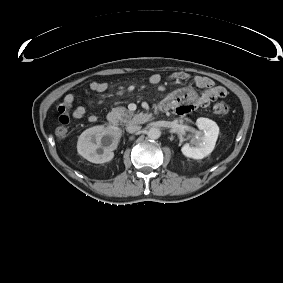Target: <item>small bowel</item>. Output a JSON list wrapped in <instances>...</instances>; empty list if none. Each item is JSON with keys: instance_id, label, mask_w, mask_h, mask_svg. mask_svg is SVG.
Masks as SVG:
<instances>
[{"instance_id": "obj_1", "label": "small bowel", "mask_w": 283, "mask_h": 283, "mask_svg": "<svg viewBox=\"0 0 283 283\" xmlns=\"http://www.w3.org/2000/svg\"><path fill=\"white\" fill-rule=\"evenodd\" d=\"M189 78V74L180 71L176 72L172 76V81L175 83H181ZM149 82L153 85L161 84V76L157 73H153L148 78ZM194 84L198 89L202 91L196 92L192 87H184L177 89L167 95L161 105L163 108H170L174 110L178 115H184L196 108H206L213 101L224 98L227 95L226 90L221 86H216L214 81L206 76H195ZM91 90L102 93L107 90L108 83L101 81H93L90 84ZM76 99L73 94L65 95L63 101L58 105V111L60 113V119L67 118L69 116L67 112L71 111V116L74 119H81L86 114V108L83 105L75 104ZM90 122H95L97 116L92 114L88 117Z\"/></svg>"}]
</instances>
